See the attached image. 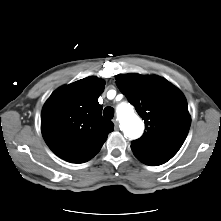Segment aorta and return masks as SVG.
Listing matches in <instances>:
<instances>
[{"instance_id": "obj_1", "label": "aorta", "mask_w": 221, "mask_h": 221, "mask_svg": "<svg viewBox=\"0 0 221 221\" xmlns=\"http://www.w3.org/2000/svg\"><path fill=\"white\" fill-rule=\"evenodd\" d=\"M117 118L125 136L130 139H137L142 135L144 124L134 113V109L130 104L122 103L117 107Z\"/></svg>"}]
</instances>
